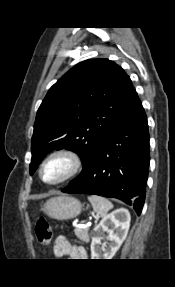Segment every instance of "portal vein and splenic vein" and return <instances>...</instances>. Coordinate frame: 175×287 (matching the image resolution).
<instances>
[{"label":"portal vein and splenic vein","mask_w":175,"mask_h":287,"mask_svg":"<svg viewBox=\"0 0 175 287\" xmlns=\"http://www.w3.org/2000/svg\"><path fill=\"white\" fill-rule=\"evenodd\" d=\"M87 224H90V222H87ZM86 225H84V227H85Z\"/></svg>","instance_id":"portal-vein-and-splenic-vein-1"}]
</instances>
